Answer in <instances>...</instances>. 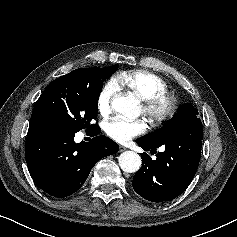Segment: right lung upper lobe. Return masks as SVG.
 I'll list each match as a JSON object with an SVG mask.
<instances>
[{
	"label": "right lung upper lobe",
	"mask_w": 237,
	"mask_h": 237,
	"mask_svg": "<svg viewBox=\"0 0 237 237\" xmlns=\"http://www.w3.org/2000/svg\"><path fill=\"white\" fill-rule=\"evenodd\" d=\"M70 74L76 75L78 77H84L87 75V68H80V69H76L72 72H70ZM38 125L36 122H34L33 120H30V126H35Z\"/></svg>",
	"instance_id": "right-lung-upper-lobe-1"
}]
</instances>
